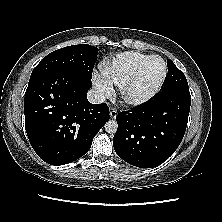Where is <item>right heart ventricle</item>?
I'll return each mask as SVG.
<instances>
[{"label":"right heart ventricle","mask_w":222,"mask_h":222,"mask_svg":"<svg viewBox=\"0 0 222 222\" xmlns=\"http://www.w3.org/2000/svg\"><path fill=\"white\" fill-rule=\"evenodd\" d=\"M151 55L140 52H124L105 60L101 69L104 77L113 85L122 87L138 67Z\"/></svg>","instance_id":"e07e8e85"}]
</instances>
